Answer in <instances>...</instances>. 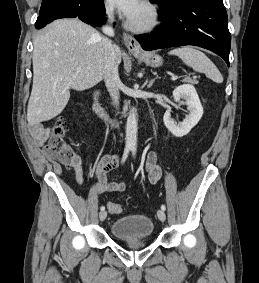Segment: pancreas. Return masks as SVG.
Returning <instances> with one entry per match:
<instances>
[{
    "label": "pancreas",
    "instance_id": "obj_1",
    "mask_svg": "<svg viewBox=\"0 0 259 283\" xmlns=\"http://www.w3.org/2000/svg\"><path fill=\"white\" fill-rule=\"evenodd\" d=\"M183 82H186V83H191V84H197V81L190 78V77H186L183 79Z\"/></svg>",
    "mask_w": 259,
    "mask_h": 283
}]
</instances>
